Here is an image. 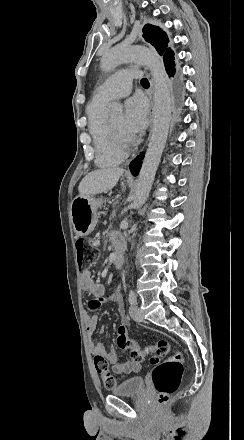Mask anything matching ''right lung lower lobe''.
<instances>
[{"mask_svg": "<svg viewBox=\"0 0 244 440\" xmlns=\"http://www.w3.org/2000/svg\"><path fill=\"white\" fill-rule=\"evenodd\" d=\"M143 158H144V154L141 153L140 155H138V156H137V157L131 162V164H130V169H131L133 175H137V174H138V172H139V170H140V167H141V164H142V159H143Z\"/></svg>", "mask_w": 244, "mask_h": 440, "instance_id": "obj_1", "label": "right lung lower lobe"}]
</instances>
